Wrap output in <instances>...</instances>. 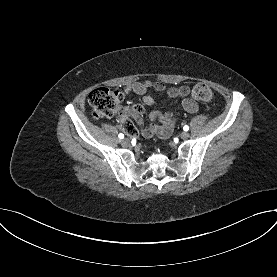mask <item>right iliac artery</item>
Returning a JSON list of instances; mask_svg holds the SVG:
<instances>
[{"label":"right iliac artery","instance_id":"right-iliac-artery-1","mask_svg":"<svg viewBox=\"0 0 277 277\" xmlns=\"http://www.w3.org/2000/svg\"><path fill=\"white\" fill-rule=\"evenodd\" d=\"M118 137H119V139H123V138H124V135H123L122 133H120V134L118 135Z\"/></svg>","mask_w":277,"mask_h":277}]
</instances>
